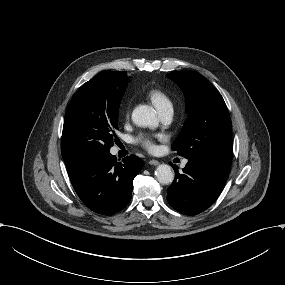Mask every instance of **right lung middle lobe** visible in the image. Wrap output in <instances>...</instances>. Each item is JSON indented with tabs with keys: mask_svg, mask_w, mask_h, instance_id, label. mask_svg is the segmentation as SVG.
<instances>
[{
	"mask_svg": "<svg viewBox=\"0 0 285 285\" xmlns=\"http://www.w3.org/2000/svg\"><path fill=\"white\" fill-rule=\"evenodd\" d=\"M127 85L100 91L81 87L65 115L61 140L64 161H87L110 153L114 142L119 105Z\"/></svg>",
	"mask_w": 285,
	"mask_h": 285,
	"instance_id": "1",
	"label": "right lung middle lobe"
}]
</instances>
